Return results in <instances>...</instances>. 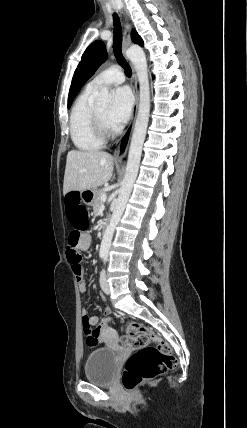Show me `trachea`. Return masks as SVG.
I'll return each instance as SVG.
<instances>
[{
  "instance_id": "trachea-1",
  "label": "trachea",
  "mask_w": 247,
  "mask_h": 428,
  "mask_svg": "<svg viewBox=\"0 0 247 428\" xmlns=\"http://www.w3.org/2000/svg\"><path fill=\"white\" fill-rule=\"evenodd\" d=\"M113 20H114L113 52L115 54L117 61L123 66L126 76L131 77V74H132L131 68L125 61L121 50L122 30H121L119 16L117 15V13H113Z\"/></svg>"
}]
</instances>
